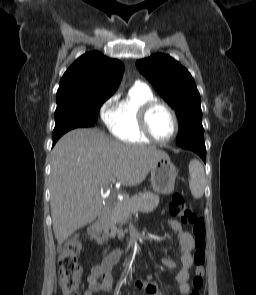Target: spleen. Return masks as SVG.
<instances>
[{
    "label": "spleen",
    "instance_id": "spleen-1",
    "mask_svg": "<svg viewBox=\"0 0 256 295\" xmlns=\"http://www.w3.org/2000/svg\"><path fill=\"white\" fill-rule=\"evenodd\" d=\"M189 174L191 193L194 198H201L205 188V173L203 166L198 161L192 160L189 164Z\"/></svg>",
    "mask_w": 256,
    "mask_h": 295
}]
</instances>
